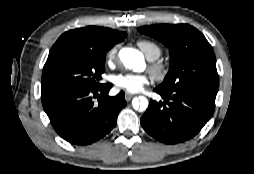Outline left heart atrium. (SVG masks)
I'll return each mask as SVG.
<instances>
[{
  "label": "left heart atrium",
  "mask_w": 254,
  "mask_h": 174,
  "mask_svg": "<svg viewBox=\"0 0 254 174\" xmlns=\"http://www.w3.org/2000/svg\"><path fill=\"white\" fill-rule=\"evenodd\" d=\"M150 77L146 74L122 73L115 75L113 82L117 89L129 93H138L150 83Z\"/></svg>",
  "instance_id": "39dd6f15"
}]
</instances>
